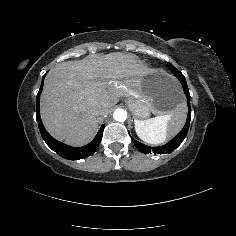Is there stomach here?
I'll use <instances>...</instances> for the list:
<instances>
[{"label":"stomach","instance_id":"0dacf381","mask_svg":"<svg viewBox=\"0 0 236 236\" xmlns=\"http://www.w3.org/2000/svg\"><path fill=\"white\" fill-rule=\"evenodd\" d=\"M185 96L179 82L167 72L155 69L140 80L137 97L126 99L135 119L146 120L151 114L165 116L182 104Z\"/></svg>","mask_w":236,"mask_h":236}]
</instances>
